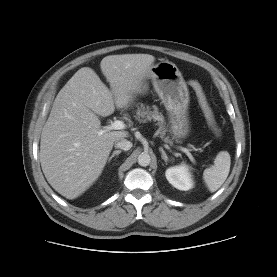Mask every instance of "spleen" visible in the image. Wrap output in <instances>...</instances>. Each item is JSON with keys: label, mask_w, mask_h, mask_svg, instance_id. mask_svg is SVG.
<instances>
[{"label": "spleen", "mask_w": 277, "mask_h": 277, "mask_svg": "<svg viewBox=\"0 0 277 277\" xmlns=\"http://www.w3.org/2000/svg\"><path fill=\"white\" fill-rule=\"evenodd\" d=\"M231 157L227 151L217 154L214 165L204 170L203 179L211 192L217 191L229 175Z\"/></svg>", "instance_id": "1"}]
</instances>
